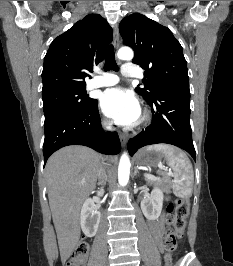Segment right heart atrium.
Here are the masks:
<instances>
[{
  "instance_id": "1",
  "label": "right heart atrium",
  "mask_w": 233,
  "mask_h": 266,
  "mask_svg": "<svg viewBox=\"0 0 233 266\" xmlns=\"http://www.w3.org/2000/svg\"><path fill=\"white\" fill-rule=\"evenodd\" d=\"M103 126H104V128L107 129V130H111V129H112V124H111V122H110L109 120H107V119H104V120H103Z\"/></svg>"
}]
</instances>
